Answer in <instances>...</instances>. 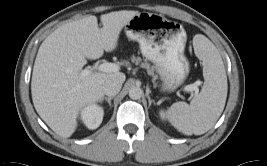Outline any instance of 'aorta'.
I'll return each instance as SVG.
<instances>
[{
    "label": "aorta",
    "instance_id": "obj_1",
    "mask_svg": "<svg viewBox=\"0 0 267 166\" xmlns=\"http://www.w3.org/2000/svg\"><path fill=\"white\" fill-rule=\"evenodd\" d=\"M142 96V90L139 87H132L129 90V97L133 100L140 99Z\"/></svg>",
    "mask_w": 267,
    "mask_h": 166
}]
</instances>
